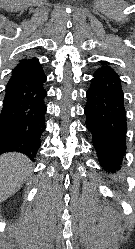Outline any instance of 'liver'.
Wrapping results in <instances>:
<instances>
[{
    "label": "liver",
    "mask_w": 135,
    "mask_h": 249,
    "mask_svg": "<svg viewBox=\"0 0 135 249\" xmlns=\"http://www.w3.org/2000/svg\"><path fill=\"white\" fill-rule=\"evenodd\" d=\"M31 168V160L23 154L12 152L0 156V202L21 188Z\"/></svg>",
    "instance_id": "liver-1"
}]
</instances>
